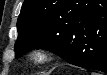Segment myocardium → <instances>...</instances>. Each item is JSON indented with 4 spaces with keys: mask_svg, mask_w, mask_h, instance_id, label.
Here are the masks:
<instances>
[{
    "mask_svg": "<svg viewBox=\"0 0 107 75\" xmlns=\"http://www.w3.org/2000/svg\"><path fill=\"white\" fill-rule=\"evenodd\" d=\"M28 60L35 65L46 64L53 59L52 53L44 48H34L28 52Z\"/></svg>",
    "mask_w": 107,
    "mask_h": 75,
    "instance_id": "f54148a6",
    "label": "myocardium"
}]
</instances>
